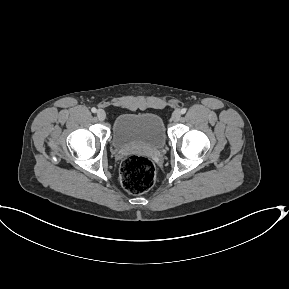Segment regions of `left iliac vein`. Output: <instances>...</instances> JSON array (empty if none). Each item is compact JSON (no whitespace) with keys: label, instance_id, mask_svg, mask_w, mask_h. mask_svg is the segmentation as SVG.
<instances>
[{"label":"left iliac vein","instance_id":"obj_1","mask_svg":"<svg viewBox=\"0 0 289 289\" xmlns=\"http://www.w3.org/2000/svg\"><path fill=\"white\" fill-rule=\"evenodd\" d=\"M180 118H181V111H179V110L174 111L172 114V120L174 122H177L180 120Z\"/></svg>","mask_w":289,"mask_h":289}]
</instances>
